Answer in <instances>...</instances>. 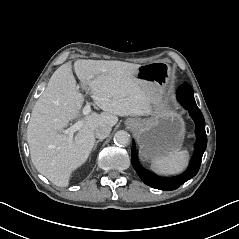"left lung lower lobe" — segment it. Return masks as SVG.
<instances>
[{"instance_id": "obj_1", "label": "left lung lower lobe", "mask_w": 239, "mask_h": 239, "mask_svg": "<svg viewBox=\"0 0 239 239\" xmlns=\"http://www.w3.org/2000/svg\"><path fill=\"white\" fill-rule=\"evenodd\" d=\"M177 98L182 104V106L189 111L190 116L193 118L195 121L196 125V136H197V146H196V157L194 164L192 168L189 170L188 173H186L183 177L177 180L173 181H163L160 179H154L146 174H144L137 166L135 159H134V148L132 147V154H131V162L138 173L139 177L141 180L147 184L148 186H151L156 189L160 190H167L171 191L174 189H177L180 187L183 183H185L187 180L191 179L194 177L197 172L199 171L200 164L202 161V156L203 153L206 149L207 146V136L205 132V120L204 117L199 110V108L196 105L195 99H194V94H193V89L188 84L185 82L183 85L180 86V88L177 91Z\"/></svg>"}]
</instances>
